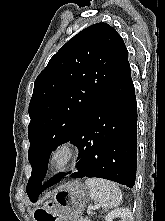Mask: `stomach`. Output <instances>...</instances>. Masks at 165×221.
Instances as JSON below:
<instances>
[{"instance_id": "obj_1", "label": "stomach", "mask_w": 165, "mask_h": 221, "mask_svg": "<svg viewBox=\"0 0 165 221\" xmlns=\"http://www.w3.org/2000/svg\"><path fill=\"white\" fill-rule=\"evenodd\" d=\"M90 197V190L86 185L77 180L69 182L59 188L53 200H44L43 204H39L33 217H52L37 218V221H79Z\"/></svg>"}]
</instances>
